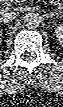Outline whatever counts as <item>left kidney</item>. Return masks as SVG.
<instances>
[{"instance_id":"obj_1","label":"left kidney","mask_w":63,"mask_h":107,"mask_svg":"<svg viewBox=\"0 0 63 107\" xmlns=\"http://www.w3.org/2000/svg\"><path fill=\"white\" fill-rule=\"evenodd\" d=\"M55 34H56V37L58 39V41L63 44V26L60 25L58 26L56 29H55Z\"/></svg>"}]
</instances>
